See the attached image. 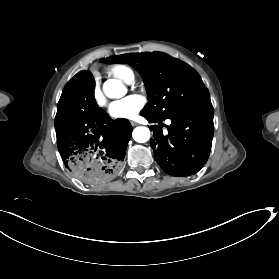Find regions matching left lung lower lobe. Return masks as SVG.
Wrapping results in <instances>:
<instances>
[{"instance_id": "0a47b994", "label": "left lung lower lobe", "mask_w": 279, "mask_h": 279, "mask_svg": "<svg viewBox=\"0 0 279 279\" xmlns=\"http://www.w3.org/2000/svg\"><path fill=\"white\" fill-rule=\"evenodd\" d=\"M141 115L150 123L160 121L147 114ZM213 115L212 104H204L169 117L172 123L167 126V135L163 134L158 125L149 127L154 132L150 145L157 163L165 173L171 176H188L205 165L214 133Z\"/></svg>"}]
</instances>
